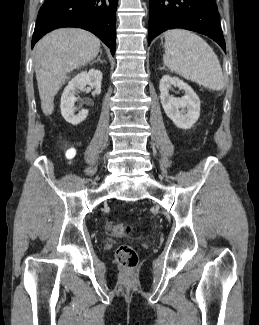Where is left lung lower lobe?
<instances>
[{
	"mask_svg": "<svg viewBox=\"0 0 259 325\" xmlns=\"http://www.w3.org/2000/svg\"><path fill=\"white\" fill-rule=\"evenodd\" d=\"M174 28L207 35L226 51L215 0H150L148 44Z\"/></svg>",
	"mask_w": 259,
	"mask_h": 325,
	"instance_id": "0a47b994",
	"label": "left lung lower lobe"
}]
</instances>
